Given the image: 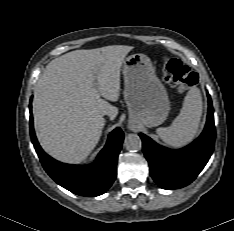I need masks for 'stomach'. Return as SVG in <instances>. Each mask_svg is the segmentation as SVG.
Wrapping results in <instances>:
<instances>
[{
	"instance_id": "1",
	"label": "stomach",
	"mask_w": 234,
	"mask_h": 231,
	"mask_svg": "<svg viewBox=\"0 0 234 231\" xmlns=\"http://www.w3.org/2000/svg\"><path fill=\"white\" fill-rule=\"evenodd\" d=\"M123 76L124 99L132 123L146 127L162 124L168 116L170 101L150 58L144 54L125 58Z\"/></svg>"
}]
</instances>
